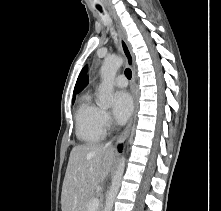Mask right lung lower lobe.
Masks as SVG:
<instances>
[{"instance_id":"obj_1","label":"right lung lower lobe","mask_w":221,"mask_h":211,"mask_svg":"<svg viewBox=\"0 0 221 211\" xmlns=\"http://www.w3.org/2000/svg\"><path fill=\"white\" fill-rule=\"evenodd\" d=\"M118 149H119V151L121 152V150H122V146L120 145Z\"/></svg>"}]
</instances>
